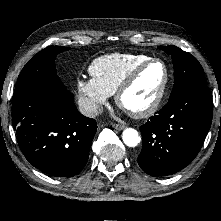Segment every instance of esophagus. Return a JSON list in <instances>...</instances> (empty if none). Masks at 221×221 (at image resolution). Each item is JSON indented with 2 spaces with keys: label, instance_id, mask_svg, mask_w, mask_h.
<instances>
[{
  "label": "esophagus",
  "instance_id": "obj_1",
  "mask_svg": "<svg viewBox=\"0 0 221 221\" xmlns=\"http://www.w3.org/2000/svg\"><path fill=\"white\" fill-rule=\"evenodd\" d=\"M113 128L117 129V130H122L124 129V125H121V124H112Z\"/></svg>",
  "mask_w": 221,
  "mask_h": 221
}]
</instances>
